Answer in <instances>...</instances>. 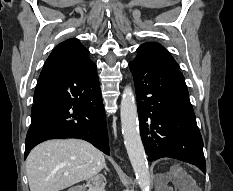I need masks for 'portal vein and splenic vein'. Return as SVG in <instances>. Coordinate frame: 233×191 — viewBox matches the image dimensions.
I'll use <instances>...</instances> for the list:
<instances>
[{
  "instance_id": "portal-vein-and-splenic-vein-1",
  "label": "portal vein and splenic vein",
  "mask_w": 233,
  "mask_h": 191,
  "mask_svg": "<svg viewBox=\"0 0 233 191\" xmlns=\"http://www.w3.org/2000/svg\"><path fill=\"white\" fill-rule=\"evenodd\" d=\"M64 175H68V173H67V172H65V173H64Z\"/></svg>"
}]
</instances>
